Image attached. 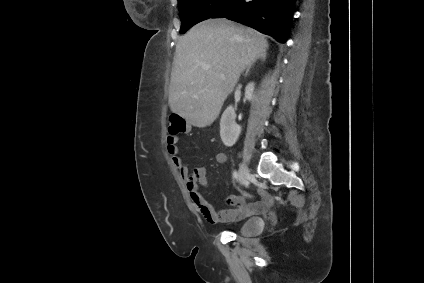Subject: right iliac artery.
I'll return each instance as SVG.
<instances>
[{
	"mask_svg": "<svg viewBox=\"0 0 424 283\" xmlns=\"http://www.w3.org/2000/svg\"><path fill=\"white\" fill-rule=\"evenodd\" d=\"M233 176H234L235 179H237V176H238L237 171H234Z\"/></svg>",
	"mask_w": 424,
	"mask_h": 283,
	"instance_id": "82829eb1",
	"label": "right iliac artery"
}]
</instances>
